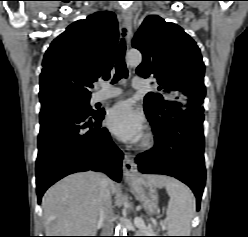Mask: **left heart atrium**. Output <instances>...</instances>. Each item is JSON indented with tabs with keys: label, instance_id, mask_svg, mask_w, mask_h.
I'll return each mask as SVG.
<instances>
[{
	"label": "left heart atrium",
	"instance_id": "obj_1",
	"mask_svg": "<svg viewBox=\"0 0 248 237\" xmlns=\"http://www.w3.org/2000/svg\"><path fill=\"white\" fill-rule=\"evenodd\" d=\"M105 123L114 135L125 142H136L144 133L143 115L130 101H120L112 106Z\"/></svg>",
	"mask_w": 248,
	"mask_h": 237
}]
</instances>
